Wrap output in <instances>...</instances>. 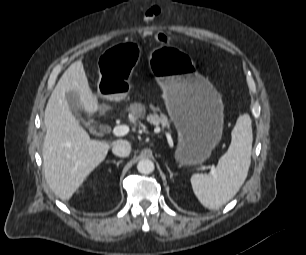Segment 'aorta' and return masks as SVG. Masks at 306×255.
Instances as JSON below:
<instances>
[{
	"mask_svg": "<svg viewBox=\"0 0 306 255\" xmlns=\"http://www.w3.org/2000/svg\"><path fill=\"white\" fill-rule=\"evenodd\" d=\"M154 163L149 159H142L137 164V170L141 174H150L154 171Z\"/></svg>",
	"mask_w": 306,
	"mask_h": 255,
	"instance_id": "762f6f07",
	"label": "aorta"
}]
</instances>
